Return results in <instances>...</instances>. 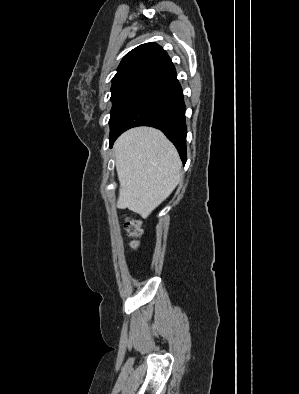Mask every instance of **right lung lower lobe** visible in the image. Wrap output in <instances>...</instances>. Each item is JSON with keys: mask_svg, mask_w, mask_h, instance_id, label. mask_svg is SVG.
Listing matches in <instances>:
<instances>
[{"mask_svg": "<svg viewBox=\"0 0 299 394\" xmlns=\"http://www.w3.org/2000/svg\"><path fill=\"white\" fill-rule=\"evenodd\" d=\"M136 126L160 129L175 145L185 164L187 134L185 104L176 72L148 88L131 104L110 133V147L120 134Z\"/></svg>", "mask_w": 299, "mask_h": 394, "instance_id": "1", "label": "right lung lower lobe"}]
</instances>
